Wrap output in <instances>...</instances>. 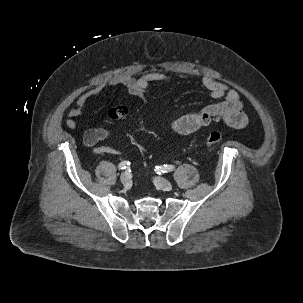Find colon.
Listing matches in <instances>:
<instances>
[{
	"instance_id": "obj_1",
	"label": "colon",
	"mask_w": 303,
	"mask_h": 303,
	"mask_svg": "<svg viewBox=\"0 0 303 303\" xmlns=\"http://www.w3.org/2000/svg\"><path fill=\"white\" fill-rule=\"evenodd\" d=\"M129 109L124 105L111 108L108 111V119L111 121L121 120L128 115ZM223 140L222 134L219 132H211L205 138V145L212 148Z\"/></svg>"
}]
</instances>
